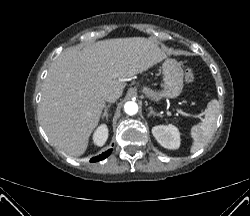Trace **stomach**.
Segmentation results:
<instances>
[{
  "label": "stomach",
  "mask_w": 250,
  "mask_h": 216,
  "mask_svg": "<svg viewBox=\"0 0 250 216\" xmlns=\"http://www.w3.org/2000/svg\"><path fill=\"white\" fill-rule=\"evenodd\" d=\"M163 83L160 90L144 86L142 92L152 101L159 102L165 98L178 97L184 86L183 69L174 59H166L162 65Z\"/></svg>",
  "instance_id": "1"
}]
</instances>
